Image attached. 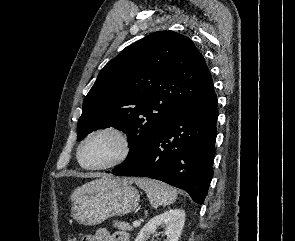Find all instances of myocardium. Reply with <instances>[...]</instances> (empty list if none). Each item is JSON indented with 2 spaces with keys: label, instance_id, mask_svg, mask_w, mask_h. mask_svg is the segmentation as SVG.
Masks as SVG:
<instances>
[{
  "label": "myocardium",
  "instance_id": "1",
  "mask_svg": "<svg viewBox=\"0 0 295 241\" xmlns=\"http://www.w3.org/2000/svg\"><path fill=\"white\" fill-rule=\"evenodd\" d=\"M100 133H112L116 135L122 143V152L120 156L112 162H109L103 165H98V166H87L83 164L81 160L82 148L91 137ZM132 151H133V145H132V141L129 134L120 127L108 125V126H102V127L96 128L92 130L91 132H89L80 142L77 148L76 157H77V161L79 165L86 170H106V169L117 167L123 164L124 162H126L131 156Z\"/></svg>",
  "mask_w": 295,
  "mask_h": 241
}]
</instances>
